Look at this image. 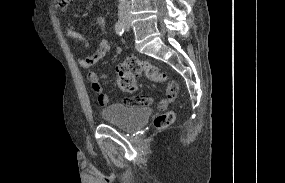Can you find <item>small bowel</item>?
Returning <instances> with one entry per match:
<instances>
[{
	"instance_id": "obj_1",
	"label": "small bowel",
	"mask_w": 285,
	"mask_h": 183,
	"mask_svg": "<svg viewBox=\"0 0 285 183\" xmlns=\"http://www.w3.org/2000/svg\"><path fill=\"white\" fill-rule=\"evenodd\" d=\"M71 0H64L59 7L61 12H65L67 10L68 4ZM97 25L99 27L104 26V21L101 19L98 21ZM65 33L68 37L80 42L84 49L85 53L81 54L79 57L80 65L85 69H92L97 62L102 59L108 51L111 49V44L108 37L103 38L98 41L93 51H89L90 43L87 38L81 34L80 32L72 29L66 28ZM106 79V74L99 73L95 71H90L88 73V80L90 82L92 90L97 94V100L101 106H105L109 103V98L107 93L103 87V81ZM177 83L175 81H170L166 87V96L160 102V108H167L174 100L175 95L177 93ZM128 103H131V100H127Z\"/></svg>"
}]
</instances>
